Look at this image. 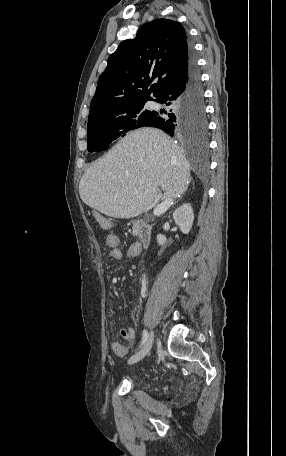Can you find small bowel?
<instances>
[{"mask_svg": "<svg viewBox=\"0 0 286 456\" xmlns=\"http://www.w3.org/2000/svg\"><path fill=\"white\" fill-rule=\"evenodd\" d=\"M106 244L109 247L108 256L112 260L120 261L123 259H130L139 256L141 253V246L138 243L130 245L126 251H123L119 247V238L114 233L107 235ZM120 333L121 336L129 343L134 342L136 332L133 327L122 328ZM112 348L114 353L120 357L125 356L128 352V347L120 342H113Z\"/></svg>", "mask_w": 286, "mask_h": 456, "instance_id": "small-bowel-1", "label": "small bowel"}]
</instances>
